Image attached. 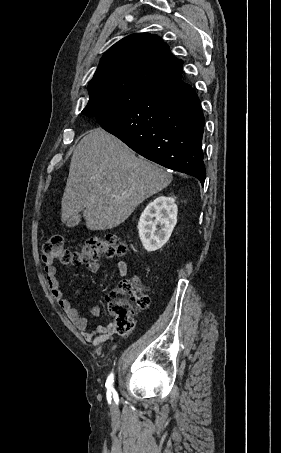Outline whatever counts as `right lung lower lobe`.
Returning <instances> with one entry per match:
<instances>
[{"mask_svg": "<svg viewBox=\"0 0 281 453\" xmlns=\"http://www.w3.org/2000/svg\"><path fill=\"white\" fill-rule=\"evenodd\" d=\"M82 114L131 149L166 168L196 177L204 185L205 119L195 91L181 79L162 83L129 101L93 107Z\"/></svg>", "mask_w": 281, "mask_h": 453, "instance_id": "1", "label": "right lung lower lobe"}]
</instances>
